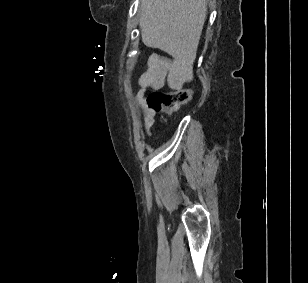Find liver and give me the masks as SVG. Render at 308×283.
Masks as SVG:
<instances>
[{
    "label": "liver",
    "mask_w": 308,
    "mask_h": 283,
    "mask_svg": "<svg viewBox=\"0 0 308 283\" xmlns=\"http://www.w3.org/2000/svg\"><path fill=\"white\" fill-rule=\"evenodd\" d=\"M206 15L207 0H142V41L147 47L158 48L191 66Z\"/></svg>",
    "instance_id": "6515ba94"
}]
</instances>
